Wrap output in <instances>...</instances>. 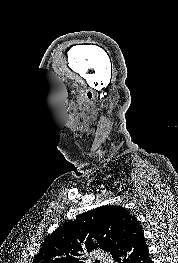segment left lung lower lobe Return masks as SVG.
Instances as JSON below:
<instances>
[{
  "mask_svg": "<svg viewBox=\"0 0 178 263\" xmlns=\"http://www.w3.org/2000/svg\"><path fill=\"white\" fill-rule=\"evenodd\" d=\"M113 258L118 263H153L143 230L135 216L128 224Z\"/></svg>",
  "mask_w": 178,
  "mask_h": 263,
  "instance_id": "1",
  "label": "left lung lower lobe"
}]
</instances>
